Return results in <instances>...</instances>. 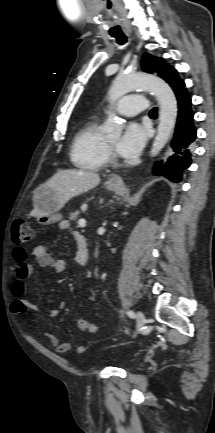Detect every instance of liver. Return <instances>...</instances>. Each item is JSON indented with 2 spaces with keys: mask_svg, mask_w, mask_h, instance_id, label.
Here are the masks:
<instances>
[{
  "mask_svg": "<svg viewBox=\"0 0 215 433\" xmlns=\"http://www.w3.org/2000/svg\"><path fill=\"white\" fill-rule=\"evenodd\" d=\"M99 183L100 177L96 173L65 169L55 173L42 186L54 190L60 207H63L71 198L95 188ZM31 215L35 217L39 216L36 208H34Z\"/></svg>",
  "mask_w": 215,
  "mask_h": 433,
  "instance_id": "obj_1",
  "label": "liver"
}]
</instances>
